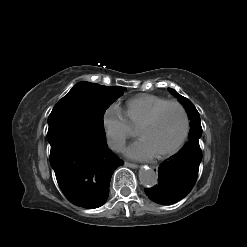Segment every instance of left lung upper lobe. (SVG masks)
<instances>
[{
  "label": "left lung upper lobe",
  "mask_w": 247,
  "mask_h": 247,
  "mask_svg": "<svg viewBox=\"0 0 247 247\" xmlns=\"http://www.w3.org/2000/svg\"><path fill=\"white\" fill-rule=\"evenodd\" d=\"M169 90L185 106V108L188 112L189 118L191 120L189 139L199 141V138L202 135V127H201V121H200V117H199V113H198L197 109L195 108V106L192 104V102L189 99L181 96L180 94H178L175 90H173L171 88Z\"/></svg>",
  "instance_id": "1"
}]
</instances>
